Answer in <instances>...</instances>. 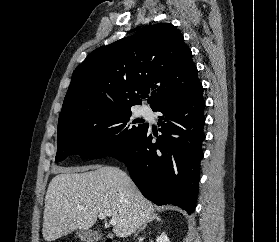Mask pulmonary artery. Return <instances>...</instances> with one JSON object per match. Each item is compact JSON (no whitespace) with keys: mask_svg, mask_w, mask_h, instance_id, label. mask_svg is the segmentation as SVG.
<instances>
[{"mask_svg":"<svg viewBox=\"0 0 279 242\" xmlns=\"http://www.w3.org/2000/svg\"><path fill=\"white\" fill-rule=\"evenodd\" d=\"M146 113V110H142V114H145Z\"/></svg>","mask_w":279,"mask_h":242,"instance_id":"1","label":"pulmonary artery"}]
</instances>
